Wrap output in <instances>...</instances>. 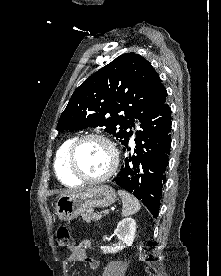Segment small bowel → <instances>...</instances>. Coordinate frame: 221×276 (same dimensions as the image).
<instances>
[{
	"label": "small bowel",
	"instance_id": "obj_1",
	"mask_svg": "<svg viewBox=\"0 0 221 276\" xmlns=\"http://www.w3.org/2000/svg\"><path fill=\"white\" fill-rule=\"evenodd\" d=\"M91 245L89 240H83L79 245H74L70 248V255L68 257V262L70 264L84 261L87 262L91 269H96L99 265L98 260L88 257L86 254V249Z\"/></svg>",
	"mask_w": 221,
	"mask_h": 276
}]
</instances>
